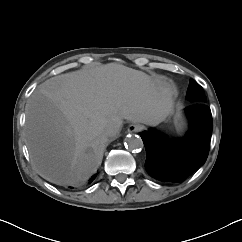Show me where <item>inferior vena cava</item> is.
<instances>
[{
    "label": "inferior vena cava",
    "instance_id": "602c4592",
    "mask_svg": "<svg viewBox=\"0 0 242 242\" xmlns=\"http://www.w3.org/2000/svg\"><path fill=\"white\" fill-rule=\"evenodd\" d=\"M105 133L110 138H115L119 134V129L115 125H110L106 128Z\"/></svg>",
    "mask_w": 242,
    "mask_h": 242
}]
</instances>
